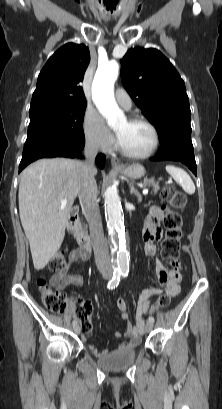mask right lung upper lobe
<instances>
[{
	"mask_svg": "<svg viewBox=\"0 0 222 409\" xmlns=\"http://www.w3.org/2000/svg\"><path fill=\"white\" fill-rule=\"evenodd\" d=\"M90 62L88 47L67 43L41 70L30 109L51 104L86 103L80 83Z\"/></svg>",
	"mask_w": 222,
	"mask_h": 409,
	"instance_id": "1",
	"label": "right lung upper lobe"
}]
</instances>
